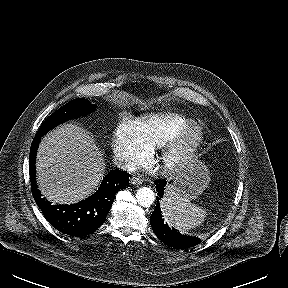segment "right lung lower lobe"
Wrapping results in <instances>:
<instances>
[{
    "mask_svg": "<svg viewBox=\"0 0 288 288\" xmlns=\"http://www.w3.org/2000/svg\"><path fill=\"white\" fill-rule=\"evenodd\" d=\"M40 137L35 136L30 149L29 174L34 200L46 220L58 231L73 237L86 236L97 230L106 219L115 194L129 187V173L112 170L98 190L89 198L71 205H51L41 197L35 180V160Z\"/></svg>",
    "mask_w": 288,
    "mask_h": 288,
    "instance_id": "right-lung-lower-lobe-1",
    "label": "right lung lower lobe"
}]
</instances>
